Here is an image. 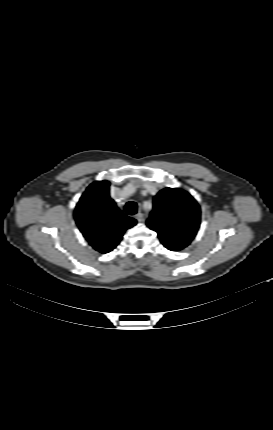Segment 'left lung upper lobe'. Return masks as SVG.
I'll return each mask as SVG.
<instances>
[{"instance_id":"1","label":"left lung upper lobe","mask_w":273,"mask_h":430,"mask_svg":"<svg viewBox=\"0 0 273 430\" xmlns=\"http://www.w3.org/2000/svg\"><path fill=\"white\" fill-rule=\"evenodd\" d=\"M158 233L161 243L171 251L190 244L200 224V207L186 191L165 188L154 197L153 210L146 222Z\"/></svg>"}]
</instances>
